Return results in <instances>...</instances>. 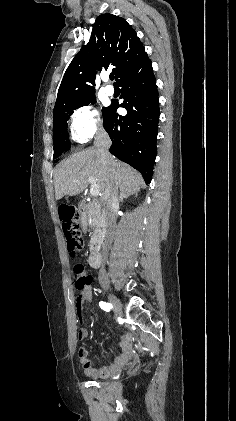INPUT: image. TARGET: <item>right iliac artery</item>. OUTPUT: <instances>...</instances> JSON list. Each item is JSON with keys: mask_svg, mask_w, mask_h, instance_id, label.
<instances>
[{"mask_svg": "<svg viewBox=\"0 0 236 421\" xmlns=\"http://www.w3.org/2000/svg\"><path fill=\"white\" fill-rule=\"evenodd\" d=\"M99 306L101 307V309H103L104 311L109 312L110 309L112 308V305L110 303H106V302H99Z\"/></svg>", "mask_w": 236, "mask_h": 421, "instance_id": "right-iliac-artery-1", "label": "right iliac artery"}]
</instances>
